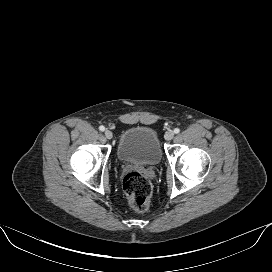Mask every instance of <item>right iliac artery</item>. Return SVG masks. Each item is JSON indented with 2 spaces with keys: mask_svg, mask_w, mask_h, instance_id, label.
<instances>
[{
  "mask_svg": "<svg viewBox=\"0 0 272 272\" xmlns=\"http://www.w3.org/2000/svg\"><path fill=\"white\" fill-rule=\"evenodd\" d=\"M99 130H100V131H104V130H105V127H104V126H100V127H99Z\"/></svg>",
  "mask_w": 272,
  "mask_h": 272,
  "instance_id": "right-iliac-artery-1",
  "label": "right iliac artery"
}]
</instances>
